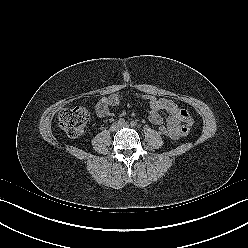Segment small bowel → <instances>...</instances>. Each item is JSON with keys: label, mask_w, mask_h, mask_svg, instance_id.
<instances>
[{"label": "small bowel", "mask_w": 248, "mask_h": 248, "mask_svg": "<svg viewBox=\"0 0 248 248\" xmlns=\"http://www.w3.org/2000/svg\"><path fill=\"white\" fill-rule=\"evenodd\" d=\"M139 97L149 103V120L152 124L162 125L164 119L160 112L165 111L169 115L166 125L171 130L173 139H178L188 134L193 119L187 110L179 108L175 102L166 98H156L152 95H140ZM122 99L123 94L121 93H112L102 97L95 107L97 116L105 118L110 115V107L117 106Z\"/></svg>", "instance_id": "small-bowel-1"}]
</instances>
